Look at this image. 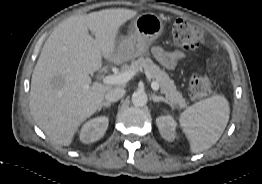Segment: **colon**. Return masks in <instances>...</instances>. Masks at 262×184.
Segmentation results:
<instances>
[{
	"mask_svg": "<svg viewBox=\"0 0 262 184\" xmlns=\"http://www.w3.org/2000/svg\"><path fill=\"white\" fill-rule=\"evenodd\" d=\"M173 40L187 51L197 49L203 42L202 29L183 19H176L171 25ZM189 94L192 100L206 97L211 90L208 77L200 72L194 73L189 79Z\"/></svg>",
	"mask_w": 262,
	"mask_h": 184,
	"instance_id": "obj_1",
	"label": "colon"
}]
</instances>
